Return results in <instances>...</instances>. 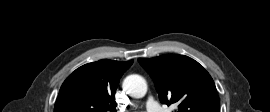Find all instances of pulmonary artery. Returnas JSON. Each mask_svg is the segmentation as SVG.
I'll use <instances>...</instances> for the list:
<instances>
[{
	"label": "pulmonary artery",
	"instance_id": "obj_1",
	"mask_svg": "<svg viewBox=\"0 0 270 112\" xmlns=\"http://www.w3.org/2000/svg\"><path fill=\"white\" fill-rule=\"evenodd\" d=\"M147 109L148 112H163L160 105L153 98L148 99Z\"/></svg>",
	"mask_w": 270,
	"mask_h": 112
}]
</instances>
